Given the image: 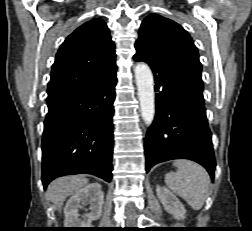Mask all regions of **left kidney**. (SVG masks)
<instances>
[{
  "label": "left kidney",
  "mask_w": 252,
  "mask_h": 231,
  "mask_svg": "<svg viewBox=\"0 0 252 231\" xmlns=\"http://www.w3.org/2000/svg\"><path fill=\"white\" fill-rule=\"evenodd\" d=\"M156 192L167 212L172 214L175 219L182 220L185 218L186 209L172 192L159 185L156 187Z\"/></svg>",
  "instance_id": "obj_1"
}]
</instances>
